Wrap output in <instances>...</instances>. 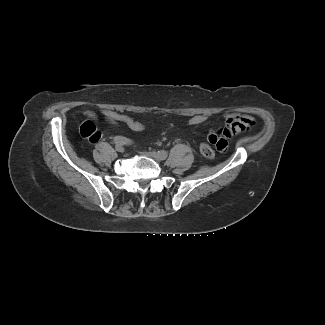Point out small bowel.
<instances>
[{"label":"small bowel","mask_w":325,"mask_h":325,"mask_svg":"<svg viewBox=\"0 0 325 325\" xmlns=\"http://www.w3.org/2000/svg\"><path fill=\"white\" fill-rule=\"evenodd\" d=\"M103 113L106 119L113 125H115L118 121H125L130 126H134L133 122L129 118L118 112L104 110ZM87 115L89 117H93V113L91 112H87ZM205 120V116H195L191 119V123L199 124L204 122ZM251 123L252 121L249 117L231 116L229 117L227 125L223 130L224 137L219 138L215 132H210L208 135V141L212 145H217V143L220 142V144L222 145L220 151H225L228 147L226 138L234 137L244 131H247L248 128L251 126ZM97 139H93V141H96Z\"/></svg>","instance_id":"small-bowel-1"}]
</instances>
